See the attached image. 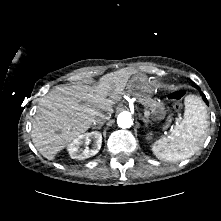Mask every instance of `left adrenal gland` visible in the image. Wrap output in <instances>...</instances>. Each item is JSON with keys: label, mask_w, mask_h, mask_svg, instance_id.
Here are the masks:
<instances>
[{"label": "left adrenal gland", "mask_w": 221, "mask_h": 221, "mask_svg": "<svg viewBox=\"0 0 221 221\" xmlns=\"http://www.w3.org/2000/svg\"><path fill=\"white\" fill-rule=\"evenodd\" d=\"M142 121L145 123V126H147L148 123H151V121L145 117H142Z\"/></svg>", "instance_id": "obj_1"}]
</instances>
